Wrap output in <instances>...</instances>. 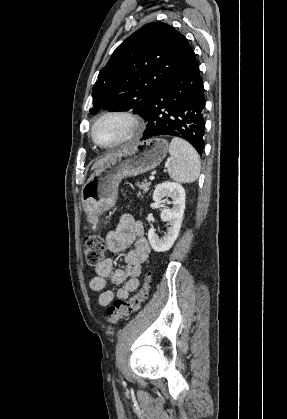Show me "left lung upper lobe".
<instances>
[{"label": "left lung upper lobe", "mask_w": 287, "mask_h": 419, "mask_svg": "<svg viewBox=\"0 0 287 419\" xmlns=\"http://www.w3.org/2000/svg\"><path fill=\"white\" fill-rule=\"evenodd\" d=\"M194 61L182 34L165 23L146 24L115 49L100 71L90 113L133 110L145 118L156 93Z\"/></svg>", "instance_id": "left-lung-upper-lobe-1"}]
</instances>
